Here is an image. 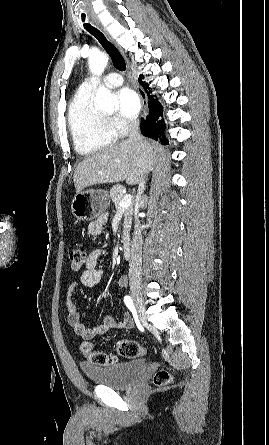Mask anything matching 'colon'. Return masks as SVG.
I'll return each mask as SVG.
<instances>
[{
    "label": "colon",
    "mask_w": 269,
    "mask_h": 445,
    "mask_svg": "<svg viewBox=\"0 0 269 445\" xmlns=\"http://www.w3.org/2000/svg\"><path fill=\"white\" fill-rule=\"evenodd\" d=\"M69 261L71 269L75 272L80 271L86 262L85 253L79 248H72L69 251ZM117 352L120 356L133 359L142 356L145 349L135 340H119L116 344ZM82 354L94 364L108 366L117 362V357L113 354L95 351L90 343H83L80 346ZM171 381V375L166 370H159L153 377V382L157 386H163Z\"/></svg>",
    "instance_id": "obj_1"
}]
</instances>
